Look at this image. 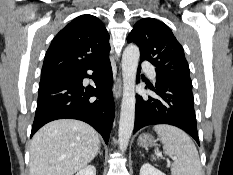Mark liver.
Here are the masks:
<instances>
[{
    "label": "liver",
    "mask_w": 233,
    "mask_h": 175,
    "mask_svg": "<svg viewBox=\"0 0 233 175\" xmlns=\"http://www.w3.org/2000/svg\"><path fill=\"white\" fill-rule=\"evenodd\" d=\"M99 146L98 133L85 122H49L31 140L30 175H73L94 159Z\"/></svg>",
    "instance_id": "liver-1"
}]
</instances>
